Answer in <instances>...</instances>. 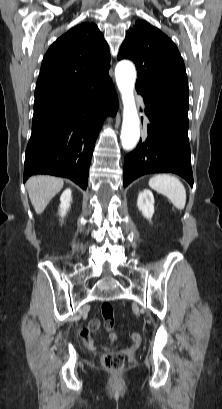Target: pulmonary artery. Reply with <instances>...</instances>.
<instances>
[{
  "label": "pulmonary artery",
  "instance_id": "e3ab8cb5",
  "mask_svg": "<svg viewBox=\"0 0 222 409\" xmlns=\"http://www.w3.org/2000/svg\"><path fill=\"white\" fill-rule=\"evenodd\" d=\"M139 103L141 104L142 107H144V103L141 97L138 98Z\"/></svg>",
  "mask_w": 222,
  "mask_h": 409
}]
</instances>
